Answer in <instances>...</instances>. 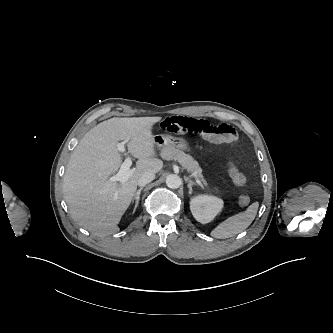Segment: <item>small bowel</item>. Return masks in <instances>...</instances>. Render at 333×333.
<instances>
[{"label": "small bowel", "instance_id": "1", "mask_svg": "<svg viewBox=\"0 0 333 333\" xmlns=\"http://www.w3.org/2000/svg\"><path fill=\"white\" fill-rule=\"evenodd\" d=\"M159 127L175 135L194 134L214 144H233L237 140L235 129L227 124H213L205 119L170 116L159 122Z\"/></svg>", "mask_w": 333, "mask_h": 333}]
</instances>
